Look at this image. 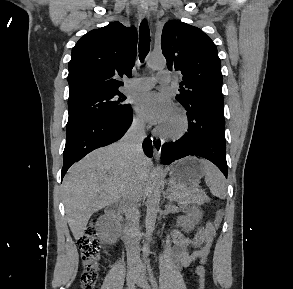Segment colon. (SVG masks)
Returning <instances> with one entry per match:
<instances>
[{"instance_id":"1","label":"colon","mask_w":293,"mask_h":289,"mask_svg":"<svg viewBox=\"0 0 293 289\" xmlns=\"http://www.w3.org/2000/svg\"><path fill=\"white\" fill-rule=\"evenodd\" d=\"M223 218L221 208H217L214 226L218 227ZM98 232L94 226H91L85 235L78 240V246L82 255L83 272L81 275L82 289H95L99 281V260H100V243L98 241ZM205 285V276L199 278V289Z\"/></svg>"}]
</instances>
